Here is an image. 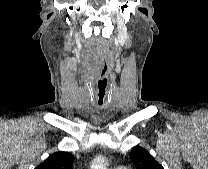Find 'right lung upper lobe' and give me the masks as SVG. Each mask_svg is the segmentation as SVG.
<instances>
[{
	"mask_svg": "<svg viewBox=\"0 0 208 169\" xmlns=\"http://www.w3.org/2000/svg\"><path fill=\"white\" fill-rule=\"evenodd\" d=\"M74 156L65 151L50 155L43 163L35 169H72Z\"/></svg>",
	"mask_w": 208,
	"mask_h": 169,
	"instance_id": "right-lung-upper-lobe-1",
	"label": "right lung upper lobe"
}]
</instances>
